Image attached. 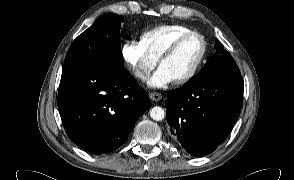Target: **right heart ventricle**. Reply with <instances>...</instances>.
I'll list each match as a JSON object with an SVG mask.
<instances>
[{"mask_svg": "<svg viewBox=\"0 0 294 180\" xmlns=\"http://www.w3.org/2000/svg\"><path fill=\"white\" fill-rule=\"evenodd\" d=\"M190 31V28L180 24L161 25L142 31L139 41L150 55L159 59L177 37Z\"/></svg>", "mask_w": 294, "mask_h": 180, "instance_id": "e07e8e85", "label": "right heart ventricle"}]
</instances>
